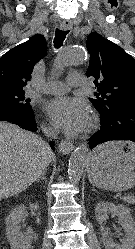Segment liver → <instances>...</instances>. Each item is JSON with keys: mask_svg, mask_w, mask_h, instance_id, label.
I'll use <instances>...</instances> for the list:
<instances>
[{"mask_svg": "<svg viewBox=\"0 0 135 249\" xmlns=\"http://www.w3.org/2000/svg\"><path fill=\"white\" fill-rule=\"evenodd\" d=\"M53 158L52 150L40 137L0 121V200L24 191Z\"/></svg>", "mask_w": 135, "mask_h": 249, "instance_id": "obj_1", "label": "liver"}]
</instances>
